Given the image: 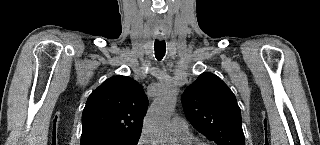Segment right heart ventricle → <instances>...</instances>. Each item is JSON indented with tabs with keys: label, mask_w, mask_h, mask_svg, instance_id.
<instances>
[{
	"label": "right heart ventricle",
	"mask_w": 320,
	"mask_h": 145,
	"mask_svg": "<svg viewBox=\"0 0 320 145\" xmlns=\"http://www.w3.org/2000/svg\"><path fill=\"white\" fill-rule=\"evenodd\" d=\"M176 138H177V140H178L179 142H181L182 144L192 141V140H191V136L184 137V138H180V137H176Z\"/></svg>",
	"instance_id": "e07e8e85"
}]
</instances>
